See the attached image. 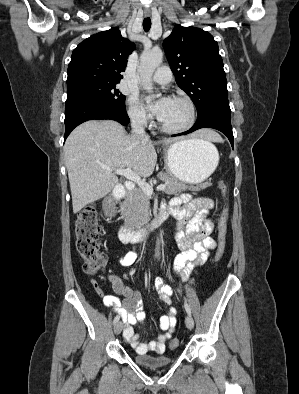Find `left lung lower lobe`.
<instances>
[{
	"label": "left lung lower lobe",
	"mask_w": 299,
	"mask_h": 394,
	"mask_svg": "<svg viewBox=\"0 0 299 394\" xmlns=\"http://www.w3.org/2000/svg\"><path fill=\"white\" fill-rule=\"evenodd\" d=\"M230 116L231 110L228 99L215 100L198 111V119L190 130L173 136L186 135L200 128H214L224 133L234 147Z\"/></svg>",
	"instance_id": "1"
}]
</instances>
